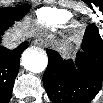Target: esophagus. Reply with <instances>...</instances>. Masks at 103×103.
<instances>
[{"instance_id":"obj_1","label":"esophagus","mask_w":103,"mask_h":103,"mask_svg":"<svg viewBox=\"0 0 103 103\" xmlns=\"http://www.w3.org/2000/svg\"><path fill=\"white\" fill-rule=\"evenodd\" d=\"M33 44H34L35 46H38V47H45V46H47L46 41L43 40V39H41V38L35 39V40L33 41Z\"/></svg>"}]
</instances>
